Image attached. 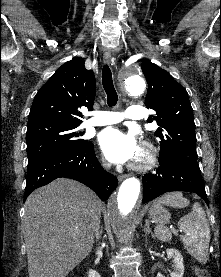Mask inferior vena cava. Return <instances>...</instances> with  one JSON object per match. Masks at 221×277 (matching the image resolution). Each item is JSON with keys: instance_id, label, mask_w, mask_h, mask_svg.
<instances>
[{"instance_id": "inferior-vena-cava-1", "label": "inferior vena cava", "mask_w": 221, "mask_h": 277, "mask_svg": "<svg viewBox=\"0 0 221 277\" xmlns=\"http://www.w3.org/2000/svg\"><path fill=\"white\" fill-rule=\"evenodd\" d=\"M104 167L107 168V169H109V168H110V164H104ZM99 223H100V221H99ZM99 223H98L97 229H96V237H97V239L100 238V237H99Z\"/></svg>"}]
</instances>
